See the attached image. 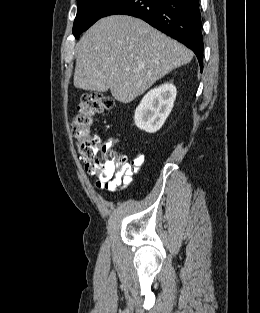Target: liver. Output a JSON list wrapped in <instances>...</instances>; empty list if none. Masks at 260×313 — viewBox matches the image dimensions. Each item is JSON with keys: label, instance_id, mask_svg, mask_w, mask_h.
I'll use <instances>...</instances> for the list:
<instances>
[{"label": "liver", "instance_id": "obj_1", "mask_svg": "<svg viewBox=\"0 0 260 313\" xmlns=\"http://www.w3.org/2000/svg\"><path fill=\"white\" fill-rule=\"evenodd\" d=\"M192 58L190 49L143 20L112 15L98 20L81 38L74 85L110 90L117 101L129 103Z\"/></svg>", "mask_w": 260, "mask_h": 313}]
</instances>
